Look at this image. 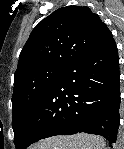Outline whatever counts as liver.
<instances>
[{
    "label": "liver",
    "mask_w": 124,
    "mask_h": 149,
    "mask_svg": "<svg viewBox=\"0 0 124 149\" xmlns=\"http://www.w3.org/2000/svg\"><path fill=\"white\" fill-rule=\"evenodd\" d=\"M104 147L105 142L99 136L77 134L48 138L31 149H103Z\"/></svg>",
    "instance_id": "6515ba94"
}]
</instances>
